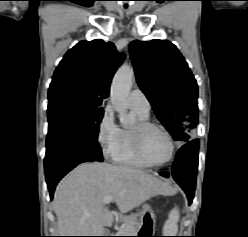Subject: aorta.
Here are the masks:
<instances>
[{
  "mask_svg": "<svg viewBox=\"0 0 248 237\" xmlns=\"http://www.w3.org/2000/svg\"><path fill=\"white\" fill-rule=\"evenodd\" d=\"M133 77V68L128 64H123L115 73L111 84L110 100L113 108L119 113L120 123L123 125L132 123V118L127 114V110Z\"/></svg>",
  "mask_w": 248,
  "mask_h": 237,
  "instance_id": "762f6f07",
  "label": "aorta"
}]
</instances>
